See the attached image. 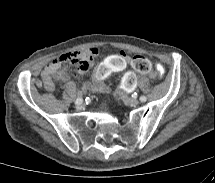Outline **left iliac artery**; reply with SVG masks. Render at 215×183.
Listing matches in <instances>:
<instances>
[{
  "label": "left iliac artery",
  "mask_w": 215,
  "mask_h": 183,
  "mask_svg": "<svg viewBox=\"0 0 215 183\" xmlns=\"http://www.w3.org/2000/svg\"><path fill=\"white\" fill-rule=\"evenodd\" d=\"M146 100H147L146 96H141V97H140V101H141V102H145Z\"/></svg>",
  "instance_id": "1"
}]
</instances>
